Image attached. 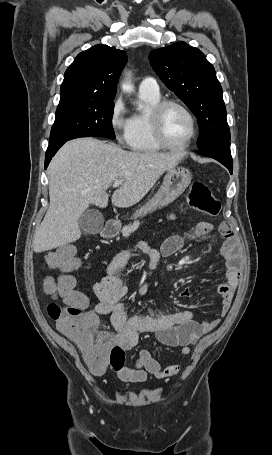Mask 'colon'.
Wrapping results in <instances>:
<instances>
[{
	"mask_svg": "<svg viewBox=\"0 0 272 455\" xmlns=\"http://www.w3.org/2000/svg\"><path fill=\"white\" fill-rule=\"evenodd\" d=\"M187 205L209 216L218 215L220 210V204L209 187L200 181L193 182ZM45 267L58 276H47L43 288L47 294L61 300L48 305V315L57 322L61 332L80 347L91 370L102 372L109 367L114 370L122 368L123 348L105 336L96 335L97 320L86 311V297L74 288L71 274L79 267L76 247L66 244L48 253Z\"/></svg>",
	"mask_w": 272,
	"mask_h": 455,
	"instance_id": "colon-1",
	"label": "colon"
}]
</instances>
